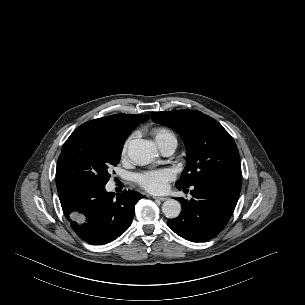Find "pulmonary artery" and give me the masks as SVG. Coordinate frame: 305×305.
Instances as JSON below:
<instances>
[{
  "instance_id": "pulmonary-artery-1",
  "label": "pulmonary artery",
  "mask_w": 305,
  "mask_h": 305,
  "mask_svg": "<svg viewBox=\"0 0 305 305\" xmlns=\"http://www.w3.org/2000/svg\"><path fill=\"white\" fill-rule=\"evenodd\" d=\"M158 146L164 155L169 156V155L173 154V152L175 151L177 142L174 140H169V141L158 144Z\"/></svg>"
}]
</instances>
